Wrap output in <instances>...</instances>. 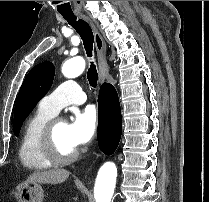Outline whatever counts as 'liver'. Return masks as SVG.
I'll return each mask as SVG.
<instances>
[{"mask_svg": "<svg viewBox=\"0 0 209 202\" xmlns=\"http://www.w3.org/2000/svg\"><path fill=\"white\" fill-rule=\"evenodd\" d=\"M70 172L65 169H52L35 172L27 178L30 183L58 184L68 179Z\"/></svg>", "mask_w": 209, "mask_h": 202, "instance_id": "obj_1", "label": "liver"}]
</instances>
